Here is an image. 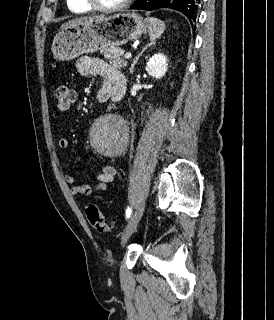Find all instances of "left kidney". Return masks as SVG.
<instances>
[{"label": "left kidney", "mask_w": 274, "mask_h": 320, "mask_svg": "<svg viewBox=\"0 0 274 320\" xmlns=\"http://www.w3.org/2000/svg\"><path fill=\"white\" fill-rule=\"evenodd\" d=\"M167 68L168 64L166 56H164V54H154V56L148 60L145 70L152 78L161 80V78L165 76Z\"/></svg>", "instance_id": "obj_1"}]
</instances>
